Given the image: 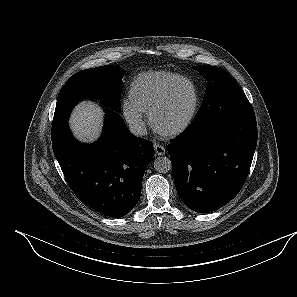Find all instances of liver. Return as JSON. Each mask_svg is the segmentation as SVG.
<instances>
[{
	"label": "liver",
	"mask_w": 297,
	"mask_h": 297,
	"mask_svg": "<svg viewBox=\"0 0 297 297\" xmlns=\"http://www.w3.org/2000/svg\"><path fill=\"white\" fill-rule=\"evenodd\" d=\"M103 114V110L91 102L76 106L69 121L73 135L85 142L96 140L101 132Z\"/></svg>",
	"instance_id": "6515ba94"
}]
</instances>
